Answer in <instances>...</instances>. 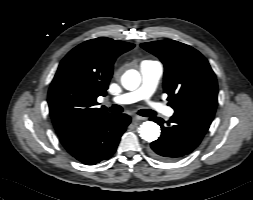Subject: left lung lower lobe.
I'll use <instances>...</instances> for the list:
<instances>
[{
	"instance_id": "obj_1",
	"label": "left lung lower lobe",
	"mask_w": 253,
	"mask_h": 200,
	"mask_svg": "<svg viewBox=\"0 0 253 200\" xmlns=\"http://www.w3.org/2000/svg\"><path fill=\"white\" fill-rule=\"evenodd\" d=\"M161 127V136L151 143L150 152L163 160H173L192 152L210 127L209 123L185 114L174 113L168 120L152 117Z\"/></svg>"
}]
</instances>
